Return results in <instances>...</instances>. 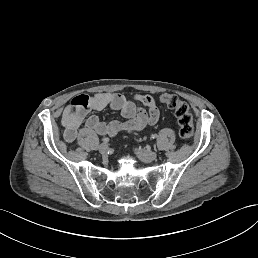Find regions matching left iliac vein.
Returning a JSON list of instances; mask_svg holds the SVG:
<instances>
[{
	"label": "left iliac vein",
	"mask_w": 258,
	"mask_h": 258,
	"mask_svg": "<svg viewBox=\"0 0 258 258\" xmlns=\"http://www.w3.org/2000/svg\"><path fill=\"white\" fill-rule=\"evenodd\" d=\"M136 155L145 163L148 164L151 161H154L157 158L156 151H143L142 149L136 150Z\"/></svg>",
	"instance_id": "1"
}]
</instances>
